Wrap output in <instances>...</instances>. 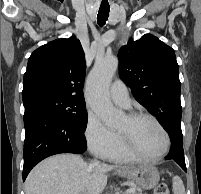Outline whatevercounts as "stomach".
<instances>
[{
	"instance_id": "obj_1",
	"label": "stomach",
	"mask_w": 201,
	"mask_h": 194,
	"mask_svg": "<svg viewBox=\"0 0 201 194\" xmlns=\"http://www.w3.org/2000/svg\"><path fill=\"white\" fill-rule=\"evenodd\" d=\"M121 176L136 183L141 189H152L159 183V172L152 165L125 167L121 169Z\"/></svg>"
}]
</instances>
